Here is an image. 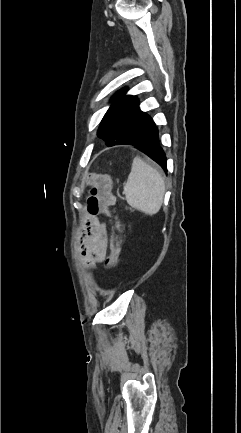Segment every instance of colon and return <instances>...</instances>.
<instances>
[{"label": "colon", "mask_w": 241, "mask_h": 433, "mask_svg": "<svg viewBox=\"0 0 241 433\" xmlns=\"http://www.w3.org/2000/svg\"><path fill=\"white\" fill-rule=\"evenodd\" d=\"M86 181L88 183L94 182V186L89 197L90 211L95 214L108 215L113 223L114 229L116 230L110 245L108 257L106 259V266L110 269H113L116 267L120 255V225L117 218L110 212V207L114 204L112 182L106 176H88Z\"/></svg>", "instance_id": "obj_1"}]
</instances>
